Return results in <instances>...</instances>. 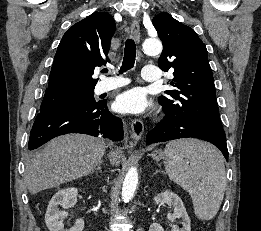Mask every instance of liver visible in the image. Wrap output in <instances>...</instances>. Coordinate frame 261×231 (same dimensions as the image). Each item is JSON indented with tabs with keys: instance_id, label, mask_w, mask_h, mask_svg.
I'll return each instance as SVG.
<instances>
[{
	"instance_id": "6515ba94",
	"label": "liver",
	"mask_w": 261,
	"mask_h": 231,
	"mask_svg": "<svg viewBox=\"0 0 261 231\" xmlns=\"http://www.w3.org/2000/svg\"><path fill=\"white\" fill-rule=\"evenodd\" d=\"M105 143L100 139L81 134L57 137L27 160L25 180L34 195L42 190L88 175L101 162ZM112 163L123 159L120 151L109 154Z\"/></svg>"
}]
</instances>
